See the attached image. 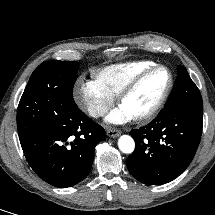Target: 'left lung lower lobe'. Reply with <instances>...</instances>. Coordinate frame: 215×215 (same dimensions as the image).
Returning <instances> with one entry per match:
<instances>
[{
  "label": "left lung lower lobe",
  "mask_w": 215,
  "mask_h": 215,
  "mask_svg": "<svg viewBox=\"0 0 215 215\" xmlns=\"http://www.w3.org/2000/svg\"><path fill=\"white\" fill-rule=\"evenodd\" d=\"M203 126V108L164 107L148 125L134 129L136 149L127 159L129 172L144 184L160 185L178 177L191 163Z\"/></svg>",
  "instance_id": "0a47b994"
}]
</instances>
